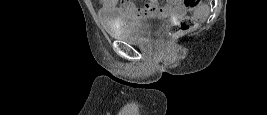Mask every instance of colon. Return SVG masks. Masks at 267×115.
Segmentation results:
<instances>
[{"label": "colon", "instance_id": "colon-1", "mask_svg": "<svg viewBox=\"0 0 267 115\" xmlns=\"http://www.w3.org/2000/svg\"><path fill=\"white\" fill-rule=\"evenodd\" d=\"M187 5L197 8L200 5V1L198 0H186ZM196 26V21L192 17H184L177 24L168 27L163 35L162 40L164 41H172L179 36L193 30Z\"/></svg>", "mask_w": 267, "mask_h": 115}]
</instances>
